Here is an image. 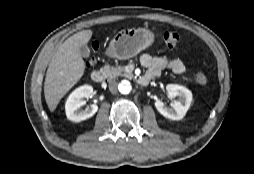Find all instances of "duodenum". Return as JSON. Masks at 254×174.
I'll return each instance as SVG.
<instances>
[{"mask_svg": "<svg viewBox=\"0 0 254 174\" xmlns=\"http://www.w3.org/2000/svg\"><path fill=\"white\" fill-rule=\"evenodd\" d=\"M91 79L95 83H102L105 80V74L101 70H94L91 73ZM152 77L151 76H146L142 75L138 78V83L142 86L148 85L149 82L151 81Z\"/></svg>", "mask_w": 254, "mask_h": 174, "instance_id": "1", "label": "duodenum"}]
</instances>
